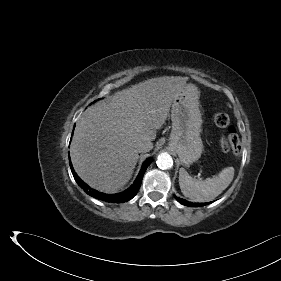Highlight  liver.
<instances>
[{"label": "liver", "mask_w": 281, "mask_h": 281, "mask_svg": "<svg viewBox=\"0 0 281 281\" xmlns=\"http://www.w3.org/2000/svg\"><path fill=\"white\" fill-rule=\"evenodd\" d=\"M187 80L180 76L152 78L88 108L76 124L70 147L78 176L98 191L118 192L137 164V145L148 143V151L153 148L157 129L165 123Z\"/></svg>", "instance_id": "liver-1"}]
</instances>
